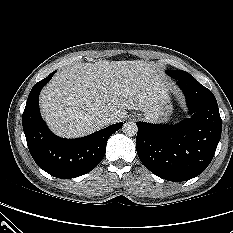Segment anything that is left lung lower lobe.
<instances>
[{"instance_id": "obj_1", "label": "left lung lower lobe", "mask_w": 233, "mask_h": 233, "mask_svg": "<svg viewBox=\"0 0 233 233\" xmlns=\"http://www.w3.org/2000/svg\"><path fill=\"white\" fill-rule=\"evenodd\" d=\"M183 91L191 118L176 125L137 122V154L155 175L186 181L211 162L221 137L222 121L213 93L194 78L176 82Z\"/></svg>"}]
</instances>
